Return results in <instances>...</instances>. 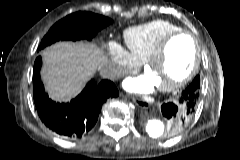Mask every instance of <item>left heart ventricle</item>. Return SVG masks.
I'll return each mask as SVG.
<instances>
[{
	"instance_id": "left-heart-ventricle-1",
	"label": "left heart ventricle",
	"mask_w": 240,
	"mask_h": 160,
	"mask_svg": "<svg viewBox=\"0 0 240 160\" xmlns=\"http://www.w3.org/2000/svg\"><path fill=\"white\" fill-rule=\"evenodd\" d=\"M195 50L187 36L174 38L167 46L162 58L153 64L146 75L155 86H163L184 77L194 63Z\"/></svg>"
}]
</instances>
